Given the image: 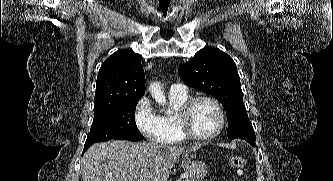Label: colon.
<instances>
[{
    "mask_svg": "<svg viewBox=\"0 0 333 181\" xmlns=\"http://www.w3.org/2000/svg\"><path fill=\"white\" fill-rule=\"evenodd\" d=\"M246 164V160L242 156H232L229 159V165L232 169L241 172Z\"/></svg>",
    "mask_w": 333,
    "mask_h": 181,
    "instance_id": "1",
    "label": "colon"
}]
</instances>
